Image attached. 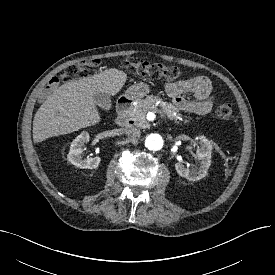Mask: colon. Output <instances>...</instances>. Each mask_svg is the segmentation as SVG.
I'll return each instance as SVG.
<instances>
[{
  "mask_svg": "<svg viewBox=\"0 0 275 275\" xmlns=\"http://www.w3.org/2000/svg\"><path fill=\"white\" fill-rule=\"evenodd\" d=\"M101 63L100 60H89L85 63L86 66H97ZM123 65L129 71L147 76L152 79L176 80L182 76V71L176 66H168L161 63H151L137 57H128L124 60ZM87 76V69L84 66L74 65L69 66L60 75L55 78L53 83L58 81L70 82L85 78ZM215 114L222 120H229L233 116V108L229 103H223L216 107Z\"/></svg>",
  "mask_w": 275,
  "mask_h": 275,
  "instance_id": "5ec220e1",
  "label": "colon"
}]
</instances>
